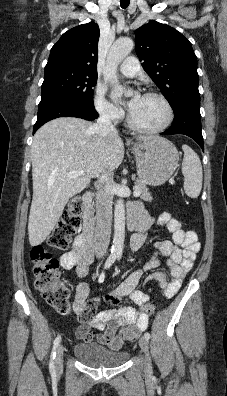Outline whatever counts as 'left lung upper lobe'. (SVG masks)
Returning a JSON list of instances; mask_svg holds the SVG:
<instances>
[{
    "mask_svg": "<svg viewBox=\"0 0 227 396\" xmlns=\"http://www.w3.org/2000/svg\"><path fill=\"white\" fill-rule=\"evenodd\" d=\"M136 54L171 107L200 97L197 57L191 43L174 28L150 21L135 31Z\"/></svg>",
    "mask_w": 227,
    "mask_h": 396,
    "instance_id": "5c2ea615",
    "label": "left lung upper lobe"
}]
</instances>
